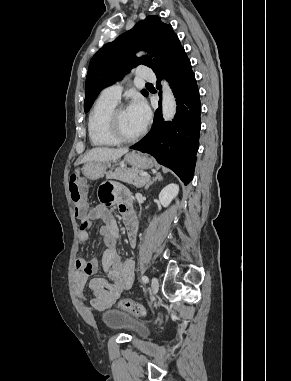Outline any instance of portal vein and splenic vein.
Returning a JSON list of instances; mask_svg holds the SVG:
<instances>
[{"mask_svg": "<svg viewBox=\"0 0 291 381\" xmlns=\"http://www.w3.org/2000/svg\"><path fill=\"white\" fill-rule=\"evenodd\" d=\"M141 176L145 177V178H149L150 177V175L148 173H146V172L141 173Z\"/></svg>", "mask_w": 291, "mask_h": 381, "instance_id": "obj_1", "label": "portal vein and splenic vein"}]
</instances>
